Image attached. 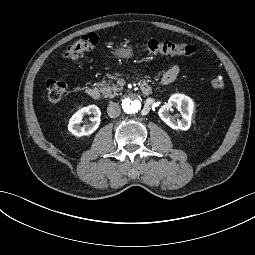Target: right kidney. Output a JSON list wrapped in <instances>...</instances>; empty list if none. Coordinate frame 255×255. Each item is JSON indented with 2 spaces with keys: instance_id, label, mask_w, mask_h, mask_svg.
<instances>
[{
  "instance_id": "right-kidney-1",
  "label": "right kidney",
  "mask_w": 255,
  "mask_h": 255,
  "mask_svg": "<svg viewBox=\"0 0 255 255\" xmlns=\"http://www.w3.org/2000/svg\"><path fill=\"white\" fill-rule=\"evenodd\" d=\"M84 115H94V117L92 118L91 124L81 127L80 123L83 121ZM100 116H101L100 109L95 105H89L87 107L80 108L69 119L68 130L74 136L77 137L91 135L100 126L101 123Z\"/></svg>"
}]
</instances>
